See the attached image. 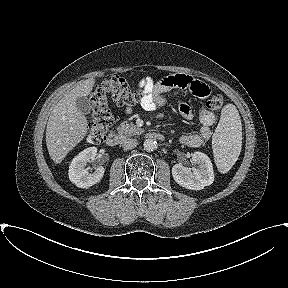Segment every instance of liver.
<instances>
[{"instance_id":"liver-1","label":"liver","mask_w":288,"mask_h":288,"mask_svg":"<svg viewBox=\"0 0 288 288\" xmlns=\"http://www.w3.org/2000/svg\"><path fill=\"white\" fill-rule=\"evenodd\" d=\"M95 79L82 80L63 94L52 110L46 127V145L51 159L59 164L87 134V119L77 107V97L90 94Z\"/></svg>"}]
</instances>
